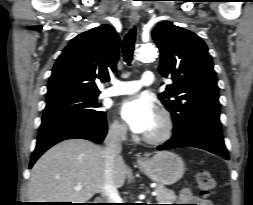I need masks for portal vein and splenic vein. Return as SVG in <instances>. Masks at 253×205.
Here are the masks:
<instances>
[{"label": "portal vein and splenic vein", "mask_w": 253, "mask_h": 205, "mask_svg": "<svg viewBox=\"0 0 253 205\" xmlns=\"http://www.w3.org/2000/svg\"><path fill=\"white\" fill-rule=\"evenodd\" d=\"M83 187V185L81 183L77 184L74 189L75 190H80L81 188ZM152 196H157V191H153L152 193Z\"/></svg>", "instance_id": "portal-vein-and-splenic-vein-1"}]
</instances>
